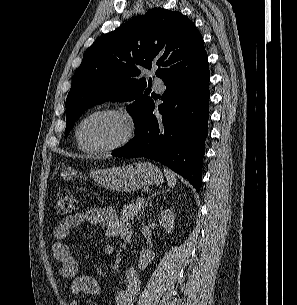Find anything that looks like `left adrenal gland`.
Listing matches in <instances>:
<instances>
[{
    "mask_svg": "<svg viewBox=\"0 0 297 305\" xmlns=\"http://www.w3.org/2000/svg\"><path fill=\"white\" fill-rule=\"evenodd\" d=\"M162 192H165V191H162ZM160 193H161V192H160ZM157 194H159V193L152 194L150 197L147 198L146 203H145V206L143 207V210H142L141 214H143L145 208L148 206L149 200H150L152 197L156 196ZM141 214L139 215V217L141 216Z\"/></svg>",
    "mask_w": 297,
    "mask_h": 305,
    "instance_id": "obj_1",
    "label": "left adrenal gland"
}]
</instances>
